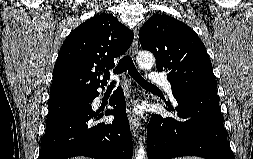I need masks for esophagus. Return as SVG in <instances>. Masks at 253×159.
I'll return each mask as SVG.
<instances>
[{"mask_svg": "<svg viewBox=\"0 0 253 159\" xmlns=\"http://www.w3.org/2000/svg\"><path fill=\"white\" fill-rule=\"evenodd\" d=\"M139 48V41H138V31L137 29L134 30V40L131 46V55L134 57L136 56ZM129 123L132 131V135L137 137L138 134L141 132L140 120L137 116L133 113L129 114Z\"/></svg>", "mask_w": 253, "mask_h": 159, "instance_id": "obj_1", "label": "esophagus"}]
</instances>
